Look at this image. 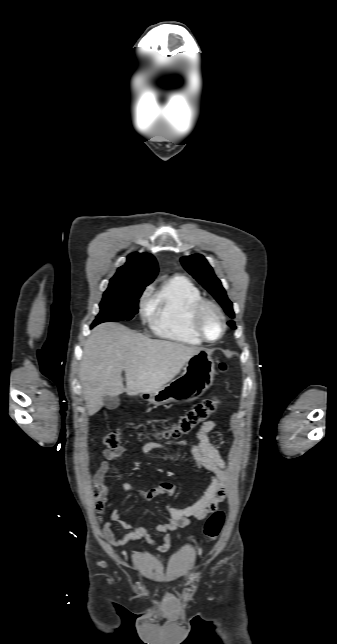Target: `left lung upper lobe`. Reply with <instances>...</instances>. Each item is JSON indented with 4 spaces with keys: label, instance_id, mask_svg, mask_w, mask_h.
Here are the masks:
<instances>
[{
    "label": "left lung upper lobe",
    "instance_id": "left-lung-upper-lobe-1",
    "mask_svg": "<svg viewBox=\"0 0 337 644\" xmlns=\"http://www.w3.org/2000/svg\"><path fill=\"white\" fill-rule=\"evenodd\" d=\"M183 267L190 273L224 308L225 312L234 318V311L231 301L228 299L220 280L214 274L212 267L209 265L204 256L194 254L181 258ZM229 325L235 328L233 322Z\"/></svg>",
    "mask_w": 337,
    "mask_h": 644
}]
</instances>
